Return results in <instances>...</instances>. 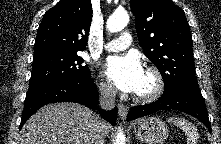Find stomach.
I'll use <instances>...</instances> for the list:
<instances>
[{
  "label": "stomach",
  "instance_id": "obj_1",
  "mask_svg": "<svg viewBox=\"0 0 221 144\" xmlns=\"http://www.w3.org/2000/svg\"><path fill=\"white\" fill-rule=\"evenodd\" d=\"M133 133L144 143L162 144L168 137V127L160 118L148 117L134 127Z\"/></svg>",
  "mask_w": 221,
  "mask_h": 144
}]
</instances>
